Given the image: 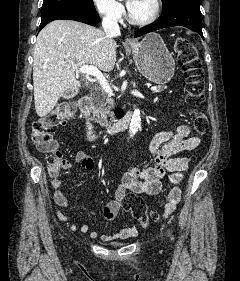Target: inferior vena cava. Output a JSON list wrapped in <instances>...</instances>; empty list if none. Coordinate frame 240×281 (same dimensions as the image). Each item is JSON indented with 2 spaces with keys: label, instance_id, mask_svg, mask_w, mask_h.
<instances>
[{
  "label": "inferior vena cava",
  "instance_id": "602c4592",
  "mask_svg": "<svg viewBox=\"0 0 240 281\" xmlns=\"http://www.w3.org/2000/svg\"><path fill=\"white\" fill-rule=\"evenodd\" d=\"M102 27L106 38L112 39L120 35V28L117 20L111 15L107 14L102 20Z\"/></svg>",
  "mask_w": 240,
  "mask_h": 281
}]
</instances>
